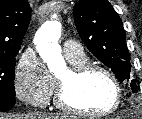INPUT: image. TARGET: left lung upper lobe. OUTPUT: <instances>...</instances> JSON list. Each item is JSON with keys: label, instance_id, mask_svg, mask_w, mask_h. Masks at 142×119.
I'll return each instance as SVG.
<instances>
[{"label": "left lung upper lobe", "instance_id": "1", "mask_svg": "<svg viewBox=\"0 0 142 119\" xmlns=\"http://www.w3.org/2000/svg\"><path fill=\"white\" fill-rule=\"evenodd\" d=\"M78 33L88 49L122 82L130 78V55L121 18L107 0H79L73 8ZM135 93L138 87L131 81Z\"/></svg>", "mask_w": 142, "mask_h": 119}]
</instances>
